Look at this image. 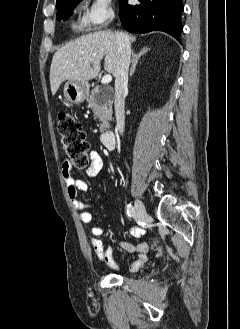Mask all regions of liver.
I'll return each instance as SVG.
<instances>
[{"instance_id":"6515ba94","label":"liver","mask_w":240,"mask_h":329,"mask_svg":"<svg viewBox=\"0 0 240 329\" xmlns=\"http://www.w3.org/2000/svg\"><path fill=\"white\" fill-rule=\"evenodd\" d=\"M127 35L134 42L135 36ZM104 58V69L114 76L117 72L118 46L115 33L98 31L81 36L58 49L50 67V86L55 95L65 80L87 82L100 72L101 60Z\"/></svg>"}]
</instances>
